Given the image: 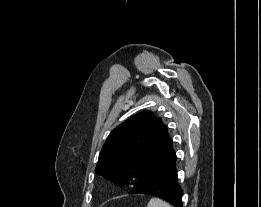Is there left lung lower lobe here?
<instances>
[{"label":"left lung lower lobe","mask_w":261,"mask_h":207,"mask_svg":"<svg viewBox=\"0 0 261 207\" xmlns=\"http://www.w3.org/2000/svg\"><path fill=\"white\" fill-rule=\"evenodd\" d=\"M129 194H147L162 198L174 207L182 206V190L178 183L176 161L154 176L140 182Z\"/></svg>","instance_id":"1"}]
</instances>
